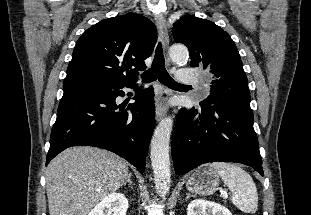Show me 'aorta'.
<instances>
[{
	"label": "aorta",
	"mask_w": 311,
	"mask_h": 215,
	"mask_svg": "<svg viewBox=\"0 0 311 215\" xmlns=\"http://www.w3.org/2000/svg\"><path fill=\"white\" fill-rule=\"evenodd\" d=\"M172 61L182 62L188 58V49L183 45H173L169 50ZM173 128L171 117L162 119L156 127L151 140V163L157 193L165 197L170 189L171 171L169 143Z\"/></svg>",
	"instance_id": "obj_1"
}]
</instances>
